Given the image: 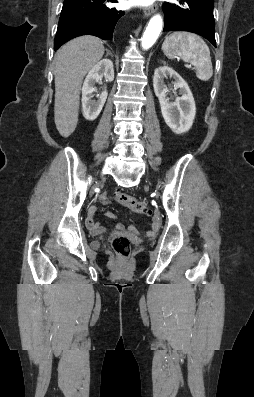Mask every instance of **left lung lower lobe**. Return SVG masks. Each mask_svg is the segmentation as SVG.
<instances>
[{
    "label": "left lung lower lobe",
    "mask_w": 254,
    "mask_h": 397,
    "mask_svg": "<svg viewBox=\"0 0 254 397\" xmlns=\"http://www.w3.org/2000/svg\"><path fill=\"white\" fill-rule=\"evenodd\" d=\"M213 7L214 0H179L178 4L165 2L163 31L197 33L216 47Z\"/></svg>",
    "instance_id": "obj_1"
}]
</instances>
